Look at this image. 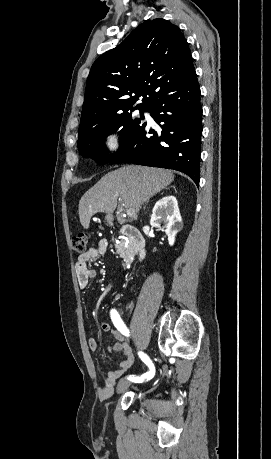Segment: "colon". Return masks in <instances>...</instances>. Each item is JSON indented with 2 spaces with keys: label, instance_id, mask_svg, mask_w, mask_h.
<instances>
[{
  "label": "colon",
  "instance_id": "1",
  "mask_svg": "<svg viewBox=\"0 0 271 459\" xmlns=\"http://www.w3.org/2000/svg\"><path fill=\"white\" fill-rule=\"evenodd\" d=\"M89 234L87 232H80L73 237L72 249L76 253H84L86 251Z\"/></svg>",
  "mask_w": 271,
  "mask_h": 459
}]
</instances>
